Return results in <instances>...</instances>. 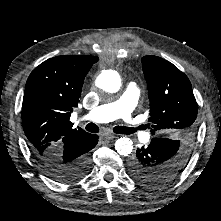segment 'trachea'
I'll list each match as a JSON object with an SVG mask.
<instances>
[{
    "mask_svg": "<svg viewBox=\"0 0 221 221\" xmlns=\"http://www.w3.org/2000/svg\"><path fill=\"white\" fill-rule=\"evenodd\" d=\"M85 128L87 131H89L91 133H98L99 132V127L94 123L87 124ZM113 131L117 134H126V135H130L134 132V130H132L128 127H124V126H116L113 128Z\"/></svg>",
    "mask_w": 221,
    "mask_h": 221,
    "instance_id": "obj_1",
    "label": "trachea"
}]
</instances>
